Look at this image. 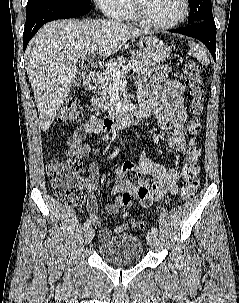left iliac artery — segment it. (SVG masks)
<instances>
[{
	"mask_svg": "<svg viewBox=\"0 0 239 303\" xmlns=\"http://www.w3.org/2000/svg\"><path fill=\"white\" fill-rule=\"evenodd\" d=\"M151 232L157 235L158 234V229L156 227H153L151 229Z\"/></svg>",
	"mask_w": 239,
	"mask_h": 303,
	"instance_id": "1",
	"label": "left iliac artery"
}]
</instances>
